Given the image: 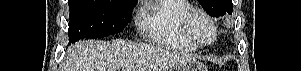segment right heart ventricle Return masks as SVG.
Here are the masks:
<instances>
[{"label":"right heart ventricle","mask_w":301,"mask_h":71,"mask_svg":"<svg viewBox=\"0 0 301 71\" xmlns=\"http://www.w3.org/2000/svg\"><path fill=\"white\" fill-rule=\"evenodd\" d=\"M191 8L186 0H157L149 4L141 19L145 38L157 46L193 52L198 47L186 38L181 28L182 14Z\"/></svg>","instance_id":"e07e8e85"}]
</instances>
